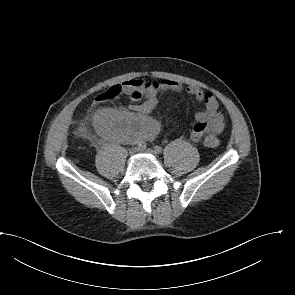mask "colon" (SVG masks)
Wrapping results in <instances>:
<instances>
[{
	"label": "colon",
	"mask_w": 295,
	"mask_h": 295,
	"mask_svg": "<svg viewBox=\"0 0 295 295\" xmlns=\"http://www.w3.org/2000/svg\"><path fill=\"white\" fill-rule=\"evenodd\" d=\"M121 91H122V85H114L110 87L108 90H106L105 92L99 94L95 99V103L102 104V103L112 102L119 96ZM81 132L86 134L85 130H82ZM204 143L205 145L209 147H216L219 145V138L217 135L208 134L204 138Z\"/></svg>",
	"instance_id": "5ec220e1"
}]
</instances>
